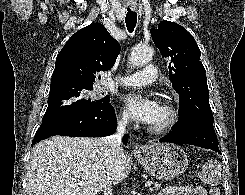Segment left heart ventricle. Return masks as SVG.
Returning <instances> with one entry per match:
<instances>
[{"instance_id": "left-heart-ventricle-1", "label": "left heart ventricle", "mask_w": 245, "mask_h": 195, "mask_svg": "<svg viewBox=\"0 0 245 195\" xmlns=\"http://www.w3.org/2000/svg\"><path fill=\"white\" fill-rule=\"evenodd\" d=\"M165 118H166V113H165L164 109L162 108V106H160V110H159L158 116L156 117V119L153 121V123L151 125L152 126L153 125H158L161 122H163L165 120Z\"/></svg>"}]
</instances>
